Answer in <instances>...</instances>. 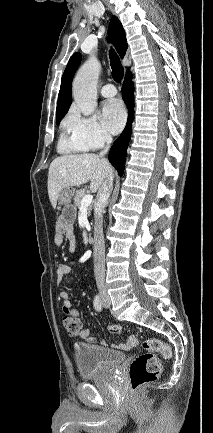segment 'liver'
Returning <instances> with one entry per match:
<instances>
[{"instance_id":"obj_1","label":"liver","mask_w":213,"mask_h":433,"mask_svg":"<svg viewBox=\"0 0 213 433\" xmlns=\"http://www.w3.org/2000/svg\"><path fill=\"white\" fill-rule=\"evenodd\" d=\"M112 173L109 162L92 153L64 155L52 161L48 172V195L53 208L60 192L67 187L90 181V190L96 192Z\"/></svg>"}]
</instances>
